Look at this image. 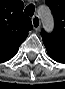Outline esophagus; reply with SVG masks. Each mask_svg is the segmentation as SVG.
<instances>
[{
  "instance_id": "esophagus-1",
  "label": "esophagus",
  "mask_w": 65,
  "mask_h": 89,
  "mask_svg": "<svg viewBox=\"0 0 65 89\" xmlns=\"http://www.w3.org/2000/svg\"><path fill=\"white\" fill-rule=\"evenodd\" d=\"M32 24L36 31L40 29V25H41L40 18L37 15L32 17Z\"/></svg>"
}]
</instances>
